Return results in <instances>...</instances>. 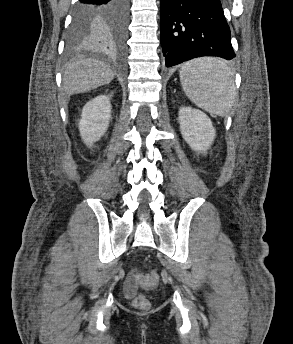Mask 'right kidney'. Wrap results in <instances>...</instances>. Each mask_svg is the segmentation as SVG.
I'll return each mask as SVG.
<instances>
[{
  "mask_svg": "<svg viewBox=\"0 0 293 344\" xmlns=\"http://www.w3.org/2000/svg\"><path fill=\"white\" fill-rule=\"evenodd\" d=\"M111 120V104L107 95H100L90 100L82 109L79 131L83 142L91 147L100 140L108 129Z\"/></svg>",
  "mask_w": 293,
  "mask_h": 344,
  "instance_id": "ca27d5eb",
  "label": "right kidney"
}]
</instances>
